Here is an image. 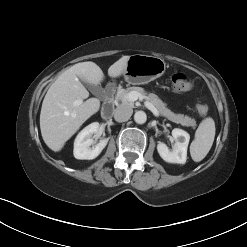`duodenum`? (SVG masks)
<instances>
[{
	"instance_id": "obj_1",
	"label": "duodenum",
	"mask_w": 247,
	"mask_h": 247,
	"mask_svg": "<svg viewBox=\"0 0 247 247\" xmlns=\"http://www.w3.org/2000/svg\"><path fill=\"white\" fill-rule=\"evenodd\" d=\"M116 86L114 83L107 84L105 88V100L102 107V115L105 119L113 115L115 109V94Z\"/></svg>"
}]
</instances>
